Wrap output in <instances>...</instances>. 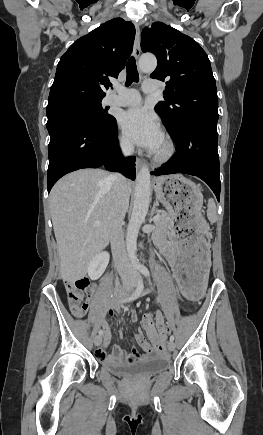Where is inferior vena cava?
<instances>
[{
	"mask_svg": "<svg viewBox=\"0 0 263 435\" xmlns=\"http://www.w3.org/2000/svg\"><path fill=\"white\" fill-rule=\"evenodd\" d=\"M134 150L132 144L123 148L124 155H131ZM109 180L112 182V208L110 213V241L112 255L116 268L121 276L130 275L133 269L127 260V253L124 242L122 223L129 205V191L126 179L118 173L111 174Z\"/></svg>",
	"mask_w": 263,
	"mask_h": 435,
	"instance_id": "inferior-vena-cava-1",
	"label": "inferior vena cava"
}]
</instances>
